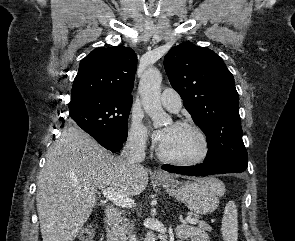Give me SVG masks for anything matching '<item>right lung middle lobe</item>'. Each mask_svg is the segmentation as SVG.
I'll list each match as a JSON object with an SVG mask.
<instances>
[{
  "instance_id": "1",
  "label": "right lung middle lobe",
  "mask_w": 295,
  "mask_h": 241,
  "mask_svg": "<svg viewBox=\"0 0 295 241\" xmlns=\"http://www.w3.org/2000/svg\"><path fill=\"white\" fill-rule=\"evenodd\" d=\"M132 101L87 98L69 104L71 121L85 132L125 142Z\"/></svg>"
}]
</instances>
